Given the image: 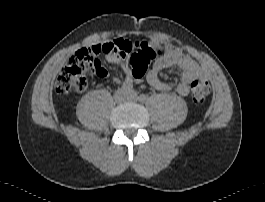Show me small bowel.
<instances>
[{"instance_id":"c3829d8e","label":"small bowel","mask_w":265,"mask_h":202,"mask_svg":"<svg viewBox=\"0 0 265 202\" xmlns=\"http://www.w3.org/2000/svg\"><path fill=\"white\" fill-rule=\"evenodd\" d=\"M132 44L135 47V44ZM150 44L149 46L159 45L164 50L163 56L158 57L151 64V68L146 76L148 84L154 89L160 91L171 90V84L160 78L161 72L170 68L180 71V81L176 86V91L182 96H186L190 93V85L193 80L205 77L200 66L191 57L183 54L179 49L162 44L158 41H151ZM104 58L107 62L122 64L123 71L126 75L124 82L128 81L132 83L134 81L127 58H124L117 52L106 53Z\"/></svg>"}]
</instances>
